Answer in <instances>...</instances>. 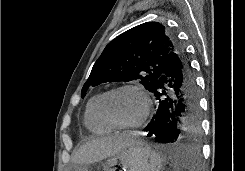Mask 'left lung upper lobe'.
Returning a JSON list of instances; mask_svg holds the SVG:
<instances>
[{"label":"left lung upper lobe","instance_id":"5c2ea615","mask_svg":"<svg viewBox=\"0 0 245 171\" xmlns=\"http://www.w3.org/2000/svg\"><path fill=\"white\" fill-rule=\"evenodd\" d=\"M180 46L176 36L159 22L129 29L105 47L82 88V98L90 87L115 81L140 80L151 92L166 58Z\"/></svg>","mask_w":245,"mask_h":171}]
</instances>
